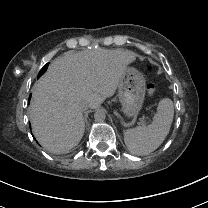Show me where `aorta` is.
I'll list each match as a JSON object with an SVG mask.
<instances>
[{"label":"aorta","instance_id":"obj_1","mask_svg":"<svg viewBox=\"0 0 208 208\" xmlns=\"http://www.w3.org/2000/svg\"><path fill=\"white\" fill-rule=\"evenodd\" d=\"M105 118H106V114L102 110L96 111L94 114V119L98 122H103Z\"/></svg>","mask_w":208,"mask_h":208}]
</instances>
